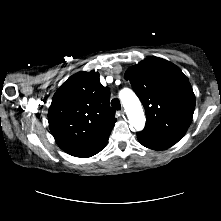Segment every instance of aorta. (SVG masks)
<instances>
[{"label": "aorta", "mask_w": 221, "mask_h": 221, "mask_svg": "<svg viewBox=\"0 0 221 221\" xmlns=\"http://www.w3.org/2000/svg\"><path fill=\"white\" fill-rule=\"evenodd\" d=\"M120 98L125 108L130 127L140 131L145 126V115L138 97L130 89L120 92Z\"/></svg>", "instance_id": "aorta-1"}]
</instances>
